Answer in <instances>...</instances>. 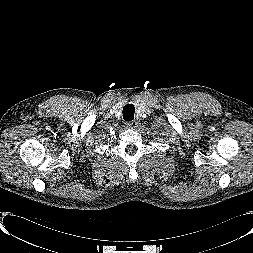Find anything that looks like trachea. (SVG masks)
Returning <instances> with one entry per match:
<instances>
[{
  "label": "trachea",
  "instance_id": "trachea-1",
  "mask_svg": "<svg viewBox=\"0 0 253 253\" xmlns=\"http://www.w3.org/2000/svg\"><path fill=\"white\" fill-rule=\"evenodd\" d=\"M135 108L133 105L128 104L123 108V118L125 121H131L134 119Z\"/></svg>",
  "mask_w": 253,
  "mask_h": 253
}]
</instances>
